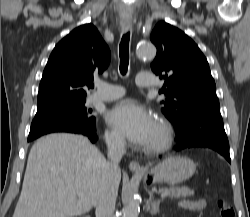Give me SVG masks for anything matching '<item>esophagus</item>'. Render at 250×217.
<instances>
[{
	"label": "esophagus",
	"mask_w": 250,
	"mask_h": 217,
	"mask_svg": "<svg viewBox=\"0 0 250 217\" xmlns=\"http://www.w3.org/2000/svg\"><path fill=\"white\" fill-rule=\"evenodd\" d=\"M131 24V19L129 18H123L121 20V27L126 30L129 28ZM129 169L133 172H142L144 169L143 167H141V165L139 164L138 161L136 160H132L130 163H129Z\"/></svg>",
	"instance_id": "obj_1"
}]
</instances>
